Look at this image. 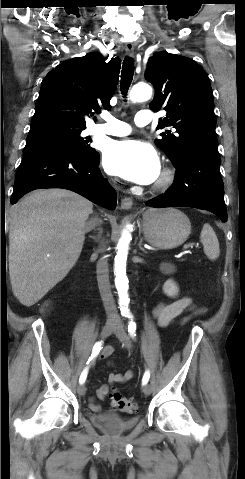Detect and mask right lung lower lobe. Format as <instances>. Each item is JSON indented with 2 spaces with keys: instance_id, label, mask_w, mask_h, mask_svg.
Returning <instances> with one entry per match:
<instances>
[{
  "instance_id": "right-lung-lower-lobe-1",
  "label": "right lung lower lobe",
  "mask_w": 245,
  "mask_h": 479,
  "mask_svg": "<svg viewBox=\"0 0 245 479\" xmlns=\"http://www.w3.org/2000/svg\"><path fill=\"white\" fill-rule=\"evenodd\" d=\"M98 155L91 156L66 147H51L24 155L15 176L10 202L41 188L74 191L108 209H115L116 192L98 167Z\"/></svg>"
}]
</instances>
